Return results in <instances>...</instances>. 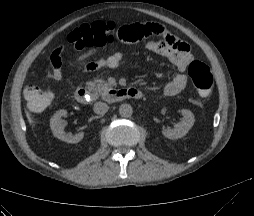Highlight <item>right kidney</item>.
Segmentation results:
<instances>
[{
	"label": "right kidney",
	"mask_w": 254,
	"mask_h": 216,
	"mask_svg": "<svg viewBox=\"0 0 254 216\" xmlns=\"http://www.w3.org/2000/svg\"><path fill=\"white\" fill-rule=\"evenodd\" d=\"M66 115V110H59L53 115V117L50 119L52 133L55 137L67 143H78L83 139L84 132H79L76 135L66 134L64 132V125L61 123V118Z\"/></svg>",
	"instance_id": "1"
}]
</instances>
